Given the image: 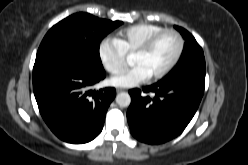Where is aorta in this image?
I'll use <instances>...</instances> for the list:
<instances>
[{
    "mask_svg": "<svg viewBox=\"0 0 248 165\" xmlns=\"http://www.w3.org/2000/svg\"><path fill=\"white\" fill-rule=\"evenodd\" d=\"M116 103L120 107H128L131 103V97L128 93L121 92L116 96Z\"/></svg>",
    "mask_w": 248,
    "mask_h": 165,
    "instance_id": "1",
    "label": "aorta"
}]
</instances>
